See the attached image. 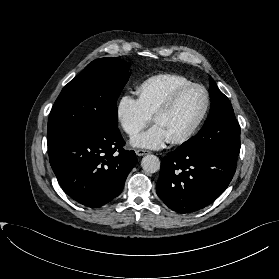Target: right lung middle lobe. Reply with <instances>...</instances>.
Listing matches in <instances>:
<instances>
[{
  "label": "right lung middle lobe",
  "instance_id": "obj_1",
  "mask_svg": "<svg viewBox=\"0 0 279 279\" xmlns=\"http://www.w3.org/2000/svg\"><path fill=\"white\" fill-rule=\"evenodd\" d=\"M129 67L123 59H96L71 80L51 110L48 146L83 133L118 129L117 99L130 77Z\"/></svg>",
  "mask_w": 279,
  "mask_h": 279
}]
</instances>
